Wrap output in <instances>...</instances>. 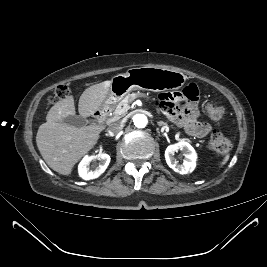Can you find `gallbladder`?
<instances>
[{"label": "gallbladder", "mask_w": 267, "mask_h": 267, "mask_svg": "<svg viewBox=\"0 0 267 267\" xmlns=\"http://www.w3.org/2000/svg\"><path fill=\"white\" fill-rule=\"evenodd\" d=\"M61 122L77 128H82L87 125L88 120L82 116H68L63 118Z\"/></svg>", "instance_id": "1"}]
</instances>
